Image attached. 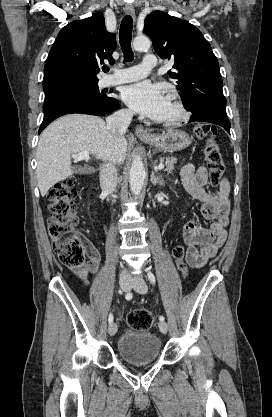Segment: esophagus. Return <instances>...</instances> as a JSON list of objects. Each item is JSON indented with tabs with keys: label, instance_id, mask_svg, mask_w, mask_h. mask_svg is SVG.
<instances>
[{
	"label": "esophagus",
	"instance_id": "esophagus-1",
	"mask_svg": "<svg viewBox=\"0 0 272 417\" xmlns=\"http://www.w3.org/2000/svg\"><path fill=\"white\" fill-rule=\"evenodd\" d=\"M124 12H125L126 15H130L132 17H135V10H134V7L132 5H126L124 7ZM135 133L138 136H150V133L147 130H145L142 126H136Z\"/></svg>",
	"mask_w": 272,
	"mask_h": 417
}]
</instances>
